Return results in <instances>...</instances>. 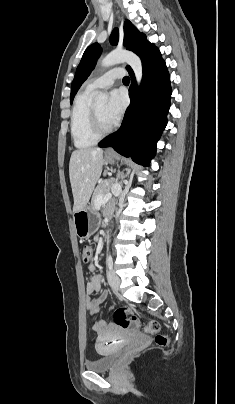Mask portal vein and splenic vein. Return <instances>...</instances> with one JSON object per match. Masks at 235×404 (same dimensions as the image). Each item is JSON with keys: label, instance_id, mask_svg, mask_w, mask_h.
Here are the masks:
<instances>
[{"label": "portal vein and splenic vein", "instance_id": "18ae733b", "mask_svg": "<svg viewBox=\"0 0 235 404\" xmlns=\"http://www.w3.org/2000/svg\"><path fill=\"white\" fill-rule=\"evenodd\" d=\"M112 197L111 193H107L105 195H99L97 197V204H105Z\"/></svg>", "mask_w": 235, "mask_h": 404}]
</instances>
